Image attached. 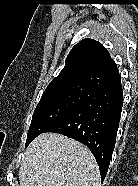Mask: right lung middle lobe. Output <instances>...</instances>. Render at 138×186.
Masks as SVG:
<instances>
[{
    "label": "right lung middle lobe",
    "mask_w": 138,
    "mask_h": 186,
    "mask_svg": "<svg viewBox=\"0 0 138 186\" xmlns=\"http://www.w3.org/2000/svg\"><path fill=\"white\" fill-rule=\"evenodd\" d=\"M91 92L92 89L83 86H68L45 91L34 111L26 147L34 138L83 104Z\"/></svg>",
    "instance_id": "dd1d6c3e"
}]
</instances>
